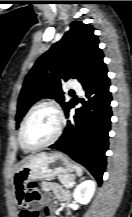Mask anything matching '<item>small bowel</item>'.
Segmentation results:
<instances>
[{
	"mask_svg": "<svg viewBox=\"0 0 132 217\" xmlns=\"http://www.w3.org/2000/svg\"><path fill=\"white\" fill-rule=\"evenodd\" d=\"M42 188L46 192H52L56 199L64 204L70 202V193L66 189L62 188L56 183L53 182H43ZM25 191L21 189L16 190V199L19 206L22 207L19 217H27L30 211H36L40 206L45 207V211L48 214V217H52L50 213L53 211L54 204L50 196H44L39 201L33 203H27L25 198Z\"/></svg>",
	"mask_w": 132,
	"mask_h": 217,
	"instance_id": "small-bowel-1",
	"label": "small bowel"
}]
</instances>
